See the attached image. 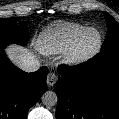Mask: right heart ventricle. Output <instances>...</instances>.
Returning <instances> with one entry per match:
<instances>
[{"label":"right heart ventricle","instance_id":"1","mask_svg":"<svg viewBox=\"0 0 119 119\" xmlns=\"http://www.w3.org/2000/svg\"><path fill=\"white\" fill-rule=\"evenodd\" d=\"M87 27L74 22H55L42 34L39 49L45 54L64 53Z\"/></svg>","mask_w":119,"mask_h":119}]
</instances>
